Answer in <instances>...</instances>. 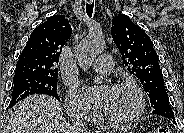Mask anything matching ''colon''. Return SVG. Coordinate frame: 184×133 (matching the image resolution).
<instances>
[{
	"mask_svg": "<svg viewBox=\"0 0 184 133\" xmlns=\"http://www.w3.org/2000/svg\"><path fill=\"white\" fill-rule=\"evenodd\" d=\"M156 132L157 133H168L169 132V129L168 128H165V127H161Z\"/></svg>",
	"mask_w": 184,
	"mask_h": 133,
	"instance_id": "obj_1",
	"label": "colon"
}]
</instances>
